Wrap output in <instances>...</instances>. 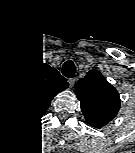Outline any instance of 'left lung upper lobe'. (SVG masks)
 <instances>
[{
	"instance_id": "5c2ea615",
	"label": "left lung upper lobe",
	"mask_w": 135,
	"mask_h": 153,
	"mask_svg": "<svg viewBox=\"0 0 135 153\" xmlns=\"http://www.w3.org/2000/svg\"><path fill=\"white\" fill-rule=\"evenodd\" d=\"M85 119L93 127L101 128L118 113V91L97 70H91L78 81L75 91Z\"/></svg>"
}]
</instances>
